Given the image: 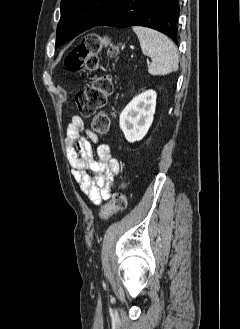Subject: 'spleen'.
<instances>
[{
  "instance_id": "spleen-1",
  "label": "spleen",
  "mask_w": 240,
  "mask_h": 329,
  "mask_svg": "<svg viewBox=\"0 0 240 329\" xmlns=\"http://www.w3.org/2000/svg\"><path fill=\"white\" fill-rule=\"evenodd\" d=\"M141 50L152 58L148 67L151 75H168L177 71L179 63L178 49L164 34L150 28L134 26Z\"/></svg>"
}]
</instances>
